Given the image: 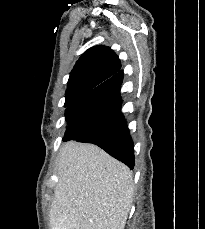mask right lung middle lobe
<instances>
[{"instance_id":"right-lung-middle-lobe-1","label":"right lung middle lobe","mask_w":205,"mask_h":229,"mask_svg":"<svg viewBox=\"0 0 205 229\" xmlns=\"http://www.w3.org/2000/svg\"><path fill=\"white\" fill-rule=\"evenodd\" d=\"M75 101H66L65 107L71 106Z\"/></svg>"}]
</instances>
